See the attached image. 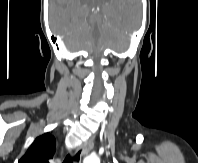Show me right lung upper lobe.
Returning a JSON list of instances; mask_svg holds the SVG:
<instances>
[{
    "label": "right lung upper lobe",
    "mask_w": 198,
    "mask_h": 163,
    "mask_svg": "<svg viewBox=\"0 0 198 163\" xmlns=\"http://www.w3.org/2000/svg\"><path fill=\"white\" fill-rule=\"evenodd\" d=\"M56 140L50 133H45L35 139L18 163H49L53 159Z\"/></svg>",
    "instance_id": "right-lung-upper-lobe-1"
}]
</instances>
